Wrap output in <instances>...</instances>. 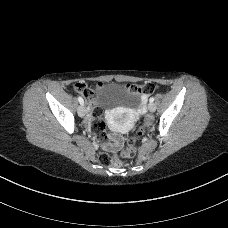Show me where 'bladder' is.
Returning a JSON list of instances; mask_svg holds the SVG:
<instances>
[{"instance_id": "bladder-1", "label": "bladder", "mask_w": 228, "mask_h": 228, "mask_svg": "<svg viewBox=\"0 0 228 228\" xmlns=\"http://www.w3.org/2000/svg\"><path fill=\"white\" fill-rule=\"evenodd\" d=\"M94 92V102L100 108H110L121 105L137 107L140 103L138 92L116 83L101 85L97 87Z\"/></svg>"}]
</instances>
